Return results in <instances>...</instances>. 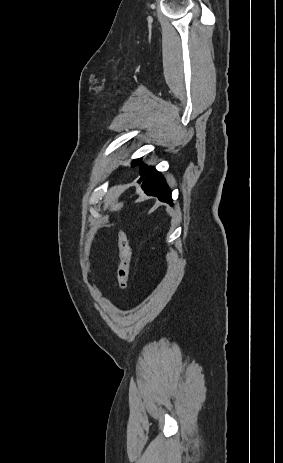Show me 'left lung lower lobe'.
Segmentation results:
<instances>
[{
    "label": "left lung lower lobe",
    "mask_w": 283,
    "mask_h": 463,
    "mask_svg": "<svg viewBox=\"0 0 283 463\" xmlns=\"http://www.w3.org/2000/svg\"><path fill=\"white\" fill-rule=\"evenodd\" d=\"M140 165L139 174L142 176L138 182H142V188L148 195L157 196L160 201L172 204L171 191L164 178L154 167H147L138 161Z\"/></svg>",
    "instance_id": "left-lung-lower-lobe-1"
}]
</instances>
